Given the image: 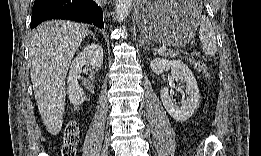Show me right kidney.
<instances>
[{
    "label": "right kidney",
    "instance_id": "ca27d5eb",
    "mask_svg": "<svg viewBox=\"0 0 261 156\" xmlns=\"http://www.w3.org/2000/svg\"><path fill=\"white\" fill-rule=\"evenodd\" d=\"M89 63L94 67H101L103 64V49L98 44L87 45L73 60L68 75V98L74 107L80 106L86 99L84 91L77 82V75L80 69Z\"/></svg>",
    "mask_w": 261,
    "mask_h": 156
}]
</instances>
